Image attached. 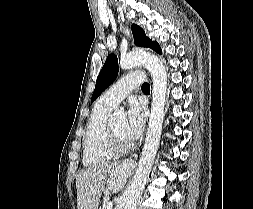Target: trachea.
Returning <instances> with one entry per match:
<instances>
[{
  "label": "trachea",
  "mask_w": 253,
  "mask_h": 209,
  "mask_svg": "<svg viewBox=\"0 0 253 209\" xmlns=\"http://www.w3.org/2000/svg\"><path fill=\"white\" fill-rule=\"evenodd\" d=\"M148 88H150L149 83H144V84L142 85V89H148Z\"/></svg>",
  "instance_id": "3493384b"
}]
</instances>
